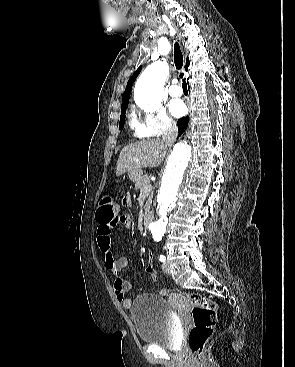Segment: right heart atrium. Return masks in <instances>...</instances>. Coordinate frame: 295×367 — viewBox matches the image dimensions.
Here are the masks:
<instances>
[{
    "label": "right heart atrium",
    "mask_w": 295,
    "mask_h": 367,
    "mask_svg": "<svg viewBox=\"0 0 295 367\" xmlns=\"http://www.w3.org/2000/svg\"><path fill=\"white\" fill-rule=\"evenodd\" d=\"M131 127L136 136L141 138L159 137L173 132L175 122L162 107L146 111H137L132 115Z\"/></svg>",
    "instance_id": "1"
}]
</instances>
